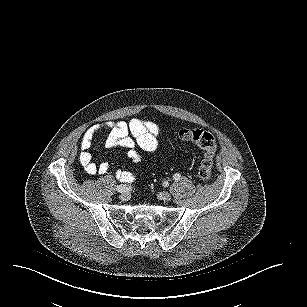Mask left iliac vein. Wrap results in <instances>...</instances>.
Masks as SVG:
<instances>
[{"mask_svg":"<svg viewBox=\"0 0 307 307\" xmlns=\"http://www.w3.org/2000/svg\"><path fill=\"white\" fill-rule=\"evenodd\" d=\"M160 196H161V199L164 201H168L171 199V194L169 192H162Z\"/></svg>","mask_w":307,"mask_h":307,"instance_id":"obj_1","label":"left iliac vein"}]
</instances>
